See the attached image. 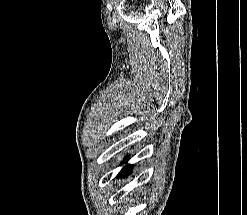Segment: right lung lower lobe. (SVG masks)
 <instances>
[{
    "instance_id": "1",
    "label": "right lung lower lobe",
    "mask_w": 247,
    "mask_h": 215,
    "mask_svg": "<svg viewBox=\"0 0 247 215\" xmlns=\"http://www.w3.org/2000/svg\"><path fill=\"white\" fill-rule=\"evenodd\" d=\"M131 168H132L131 165L125 166V167L120 171V173L118 174V177H124V176H127L128 174H130V173H131Z\"/></svg>"
}]
</instances>
